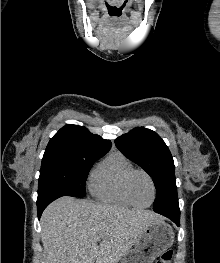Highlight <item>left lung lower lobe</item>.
<instances>
[{"instance_id": "left-lung-lower-lobe-1", "label": "left lung lower lobe", "mask_w": 220, "mask_h": 263, "mask_svg": "<svg viewBox=\"0 0 220 263\" xmlns=\"http://www.w3.org/2000/svg\"><path fill=\"white\" fill-rule=\"evenodd\" d=\"M158 213V212H157ZM159 214H162L169 219H171L173 222H175L178 226L180 224V211L176 209L161 211Z\"/></svg>"}]
</instances>
